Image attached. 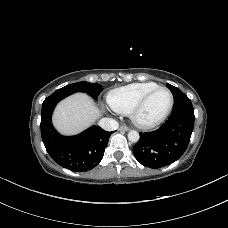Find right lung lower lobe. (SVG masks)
<instances>
[{
	"instance_id": "98d812e1",
	"label": "right lung lower lobe",
	"mask_w": 228,
	"mask_h": 228,
	"mask_svg": "<svg viewBox=\"0 0 228 228\" xmlns=\"http://www.w3.org/2000/svg\"><path fill=\"white\" fill-rule=\"evenodd\" d=\"M67 96L52 94L42 104L41 135L51 158L61 166L78 172L99 164L112 132L92 126L79 135L61 136L53 127L51 116L55 105Z\"/></svg>"
}]
</instances>
